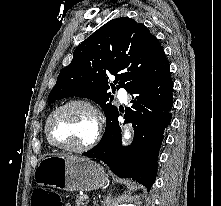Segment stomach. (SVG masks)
<instances>
[{"instance_id": "obj_1", "label": "stomach", "mask_w": 221, "mask_h": 206, "mask_svg": "<svg viewBox=\"0 0 221 206\" xmlns=\"http://www.w3.org/2000/svg\"><path fill=\"white\" fill-rule=\"evenodd\" d=\"M34 179L40 186L73 192L98 189L106 183L107 175L90 159L61 154L43 158Z\"/></svg>"}]
</instances>
